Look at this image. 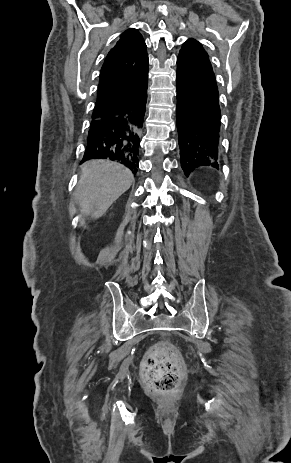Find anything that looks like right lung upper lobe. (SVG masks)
Wrapping results in <instances>:
<instances>
[{
	"label": "right lung upper lobe",
	"instance_id": "1",
	"mask_svg": "<svg viewBox=\"0 0 291 463\" xmlns=\"http://www.w3.org/2000/svg\"><path fill=\"white\" fill-rule=\"evenodd\" d=\"M148 63L142 35L136 29L123 32L101 68L92 120L108 115L147 81Z\"/></svg>",
	"mask_w": 291,
	"mask_h": 463
}]
</instances>
